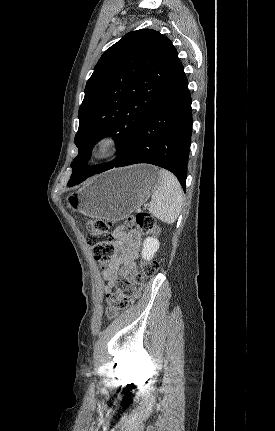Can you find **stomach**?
<instances>
[{
	"mask_svg": "<svg viewBox=\"0 0 275 431\" xmlns=\"http://www.w3.org/2000/svg\"><path fill=\"white\" fill-rule=\"evenodd\" d=\"M160 181L159 171L153 165L112 169L81 190L70 193L66 202L73 212L91 218L121 220L141 207Z\"/></svg>",
	"mask_w": 275,
	"mask_h": 431,
	"instance_id": "1",
	"label": "stomach"
}]
</instances>
